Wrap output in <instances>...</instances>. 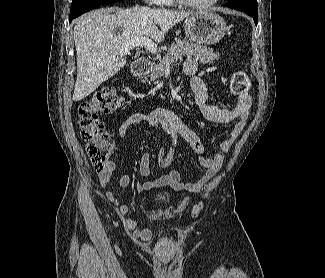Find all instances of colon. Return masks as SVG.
<instances>
[{
	"mask_svg": "<svg viewBox=\"0 0 325 278\" xmlns=\"http://www.w3.org/2000/svg\"><path fill=\"white\" fill-rule=\"evenodd\" d=\"M249 86L250 81L244 71L233 72L230 82L233 94L238 95L248 90ZM122 105L123 98L116 93L114 88L107 87L96 92L78 107L77 117L81 136L87 142L86 150L89 160L98 171H103L106 168L109 157L114 151V143L99 120V115L114 112Z\"/></svg>",
	"mask_w": 325,
	"mask_h": 278,
	"instance_id": "5ec220e1",
	"label": "colon"
}]
</instances>
